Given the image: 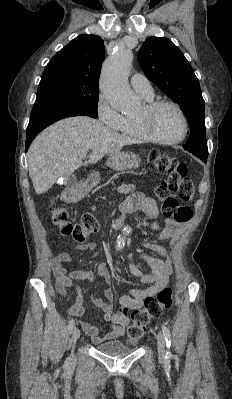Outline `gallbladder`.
<instances>
[{"mask_svg":"<svg viewBox=\"0 0 232 399\" xmlns=\"http://www.w3.org/2000/svg\"><path fill=\"white\" fill-rule=\"evenodd\" d=\"M76 182V176H74V174H70V176H65L63 180V186H73V184H76Z\"/></svg>","mask_w":232,"mask_h":399,"instance_id":"bac80fb5","label":"gallbladder"}]
</instances>
